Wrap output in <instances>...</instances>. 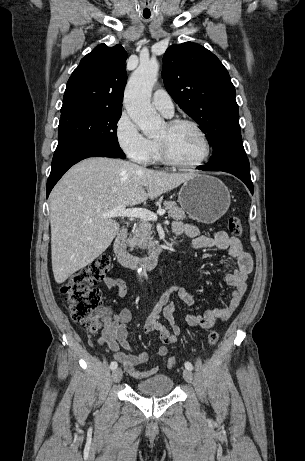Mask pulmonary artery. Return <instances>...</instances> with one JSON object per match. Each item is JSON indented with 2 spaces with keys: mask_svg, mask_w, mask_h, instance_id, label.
<instances>
[{
  "mask_svg": "<svg viewBox=\"0 0 305 461\" xmlns=\"http://www.w3.org/2000/svg\"><path fill=\"white\" fill-rule=\"evenodd\" d=\"M152 105L166 117H171L174 113V104L164 89H157L152 96Z\"/></svg>",
  "mask_w": 305,
  "mask_h": 461,
  "instance_id": "obj_1",
  "label": "pulmonary artery"
}]
</instances>
